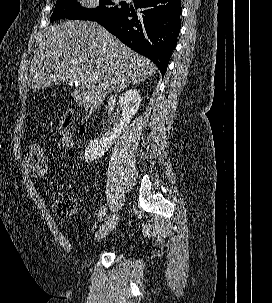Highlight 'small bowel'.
<instances>
[{
	"label": "small bowel",
	"mask_w": 272,
	"mask_h": 303,
	"mask_svg": "<svg viewBox=\"0 0 272 303\" xmlns=\"http://www.w3.org/2000/svg\"><path fill=\"white\" fill-rule=\"evenodd\" d=\"M24 166L26 169V172L34 178H45L47 176L48 173L46 174H39L37 172L34 171L32 164H31V159H30V151H28L25 155H24Z\"/></svg>",
	"instance_id": "obj_1"
}]
</instances>
